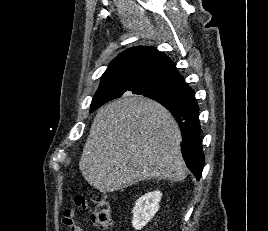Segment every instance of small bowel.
<instances>
[{"mask_svg": "<svg viewBox=\"0 0 268 231\" xmlns=\"http://www.w3.org/2000/svg\"><path fill=\"white\" fill-rule=\"evenodd\" d=\"M62 223L70 228V231H84L79 225L76 213L73 209H66L63 213Z\"/></svg>", "mask_w": 268, "mask_h": 231, "instance_id": "obj_1", "label": "small bowel"}]
</instances>
